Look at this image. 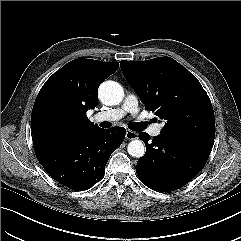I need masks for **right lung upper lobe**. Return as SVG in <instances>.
I'll return each mask as SVG.
<instances>
[{"instance_id":"right-lung-upper-lobe-1","label":"right lung upper lobe","mask_w":241,"mask_h":241,"mask_svg":"<svg viewBox=\"0 0 241 241\" xmlns=\"http://www.w3.org/2000/svg\"><path fill=\"white\" fill-rule=\"evenodd\" d=\"M118 62L75 59L55 72L41 88L31 115L35 151L54 147L99 129L86 112L98 104L99 85Z\"/></svg>"}]
</instances>
